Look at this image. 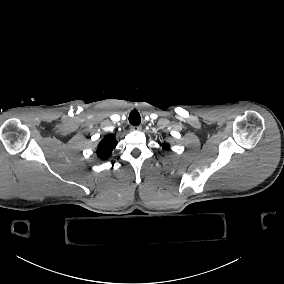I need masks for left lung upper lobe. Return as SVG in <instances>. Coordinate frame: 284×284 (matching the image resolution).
<instances>
[{
    "mask_svg": "<svg viewBox=\"0 0 284 284\" xmlns=\"http://www.w3.org/2000/svg\"><path fill=\"white\" fill-rule=\"evenodd\" d=\"M163 148H169V145L167 143H162Z\"/></svg>",
    "mask_w": 284,
    "mask_h": 284,
    "instance_id": "left-lung-upper-lobe-1",
    "label": "left lung upper lobe"
}]
</instances>
